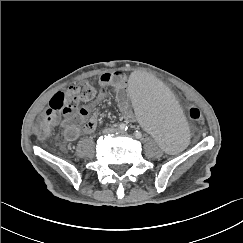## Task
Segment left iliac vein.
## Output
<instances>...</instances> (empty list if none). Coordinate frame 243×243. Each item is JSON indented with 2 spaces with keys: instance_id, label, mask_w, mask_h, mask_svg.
Returning <instances> with one entry per match:
<instances>
[{
  "instance_id": "left-iliac-vein-1",
  "label": "left iliac vein",
  "mask_w": 243,
  "mask_h": 243,
  "mask_svg": "<svg viewBox=\"0 0 243 243\" xmlns=\"http://www.w3.org/2000/svg\"><path fill=\"white\" fill-rule=\"evenodd\" d=\"M114 132H119V130L115 129V131H114Z\"/></svg>"
}]
</instances>
